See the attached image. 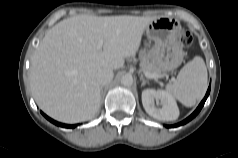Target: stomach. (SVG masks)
Instances as JSON below:
<instances>
[{
	"mask_svg": "<svg viewBox=\"0 0 238 158\" xmlns=\"http://www.w3.org/2000/svg\"><path fill=\"white\" fill-rule=\"evenodd\" d=\"M147 37L154 41L149 58L161 72L166 73L179 67L184 59L179 41V26L170 18H156L146 27Z\"/></svg>",
	"mask_w": 238,
	"mask_h": 158,
	"instance_id": "stomach-1",
	"label": "stomach"
}]
</instances>
